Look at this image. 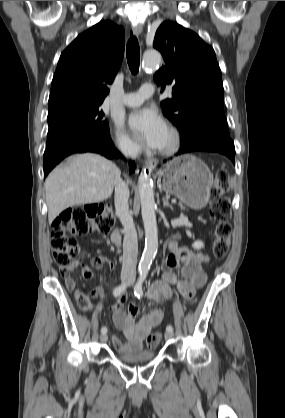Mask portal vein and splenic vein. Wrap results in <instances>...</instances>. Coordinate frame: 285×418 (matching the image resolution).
<instances>
[{"instance_id":"18ae733b","label":"portal vein and splenic vein","mask_w":285,"mask_h":418,"mask_svg":"<svg viewBox=\"0 0 285 418\" xmlns=\"http://www.w3.org/2000/svg\"><path fill=\"white\" fill-rule=\"evenodd\" d=\"M172 202H173V203H176V200H175V199H172Z\"/></svg>"}]
</instances>
